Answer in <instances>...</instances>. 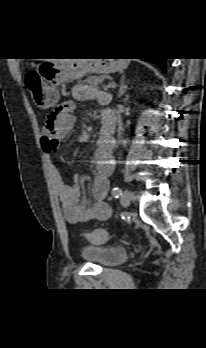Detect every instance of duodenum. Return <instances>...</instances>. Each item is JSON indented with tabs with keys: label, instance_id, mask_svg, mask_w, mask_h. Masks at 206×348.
Masks as SVG:
<instances>
[{
	"label": "duodenum",
	"instance_id": "410a0bca",
	"mask_svg": "<svg viewBox=\"0 0 206 348\" xmlns=\"http://www.w3.org/2000/svg\"><path fill=\"white\" fill-rule=\"evenodd\" d=\"M103 126L97 133V139L100 147L108 150L113 149V141L115 137L116 115L112 108H106L102 113Z\"/></svg>",
	"mask_w": 206,
	"mask_h": 348
}]
</instances>
